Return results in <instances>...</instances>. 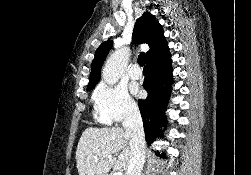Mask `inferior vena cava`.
<instances>
[{
	"instance_id": "602c4592",
	"label": "inferior vena cava",
	"mask_w": 251,
	"mask_h": 175,
	"mask_svg": "<svg viewBox=\"0 0 251 175\" xmlns=\"http://www.w3.org/2000/svg\"><path fill=\"white\" fill-rule=\"evenodd\" d=\"M122 125L126 133L130 135L131 155L127 175H141L145 161V133L142 117L136 105L126 107Z\"/></svg>"
}]
</instances>
